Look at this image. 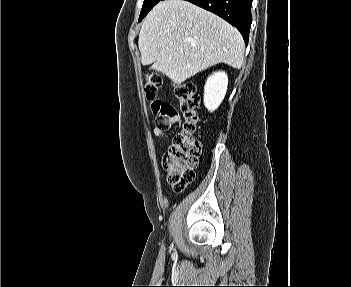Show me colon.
I'll return each mask as SVG.
<instances>
[{
	"label": "colon",
	"mask_w": 351,
	"mask_h": 287,
	"mask_svg": "<svg viewBox=\"0 0 351 287\" xmlns=\"http://www.w3.org/2000/svg\"><path fill=\"white\" fill-rule=\"evenodd\" d=\"M161 83L160 75L151 73L145 79L143 90L146 98L152 101V108L157 116L156 127L165 131L171 127L172 119L178 112L169 102L156 98ZM175 93L185 122L183 130L174 137L172 145L164 154L163 167L168 172L172 188L180 193L194 180V169L201 153V145L197 139L200 97L192 81L179 83Z\"/></svg>",
	"instance_id": "obj_1"
}]
</instances>
